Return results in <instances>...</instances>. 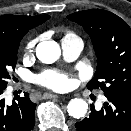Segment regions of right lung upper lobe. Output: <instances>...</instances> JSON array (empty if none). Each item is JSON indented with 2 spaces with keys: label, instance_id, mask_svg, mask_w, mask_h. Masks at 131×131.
Here are the masks:
<instances>
[{
  "label": "right lung upper lobe",
  "instance_id": "1",
  "mask_svg": "<svg viewBox=\"0 0 131 131\" xmlns=\"http://www.w3.org/2000/svg\"><path fill=\"white\" fill-rule=\"evenodd\" d=\"M49 17L48 15H2L0 16V37L6 39L23 37L30 29L44 23Z\"/></svg>",
  "mask_w": 131,
  "mask_h": 131
}]
</instances>
